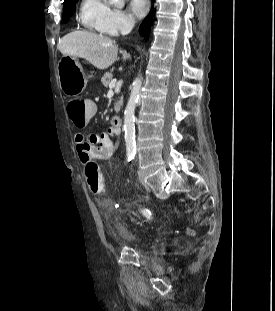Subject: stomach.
Instances as JSON below:
<instances>
[{"mask_svg": "<svg viewBox=\"0 0 275 311\" xmlns=\"http://www.w3.org/2000/svg\"><path fill=\"white\" fill-rule=\"evenodd\" d=\"M58 77L63 93L69 97L80 94L87 85V77L75 56H63L60 59Z\"/></svg>", "mask_w": 275, "mask_h": 311, "instance_id": "stomach-1", "label": "stomach"}]
</instances>
